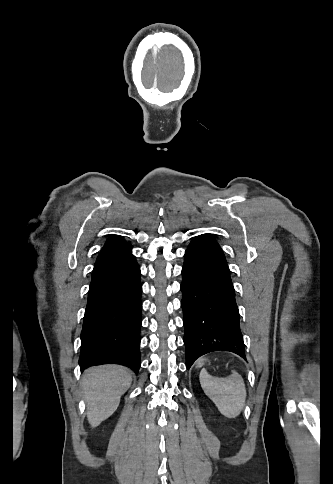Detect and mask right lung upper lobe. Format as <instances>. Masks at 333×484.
I'll list each match as a JSON object with an SVG mask.
<instances>
[{"label":"right lung upper lobe","mask_w":333,"mask_h":484,"mask_svg":"<svg viewBox=\"0 0 333 484\" xmlns=\"http://www.w3.org/2000/svg\"><path fill=\"white\" fill-rule=\"evenodd\" d=\"M125 245H126V242L121 236L113 235L106 241L102 250H106L113 247L125 246Z\"/></svg>","instance_id":"obj_1"}]
</instances>
